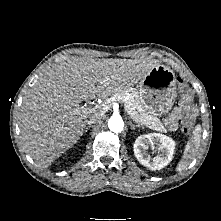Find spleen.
Wrapping results in <instances>:
<instances>
[{"instance_id":"spleen-1","label":"spleen","mask_w":221,"mask_h":221,"mask_svg":"<svg viewBox=\"0 0 221 221\" xmlns=\"http://www.w3.org/2000/svg\"><path fill=\"white\" fill-rule=\"evenodd\" d=\"M199 131H200V126H197L195 128L192 140L189 141L186 145L185 155L183 156V159L177 164L176 171L181 172L182 170H184L188 166L190 159L194 157L200 142Z\"/></svg>"}]
</instances>
